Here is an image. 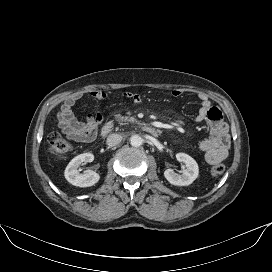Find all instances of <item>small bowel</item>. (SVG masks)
Masks as SVG:
<instances>
[{
  "label": "small bowel",
  "instance_id": "c3829d8e",
  "mask_svg": "<svg viewBox=\"0 0 272 272\" xmlns=\"http://www.w3.org/2000/svg\"><path fill=\"white\" fill-rule=\"evenodd\" d=\"M182 93L179 89L172 91L174 97H179ZM90 95L96 100L108 98V94L99 90L92 91ZM122 96L135 103L140 101V95L134 92H123ZM80 98V94L66 98L58 113V125L69 139L77 143H90L95 140L103 117L100 112H97L95 114L89 113L83 121L78 120L73 113V107ZM198 98L200 109L196 116V122H206L209 126V135L198 144L197 148L203 153L208 164L216 165L225 160L229 154L228 126L223 121L222 112L218 107L213 106L203 94H199Z\"/></svg>",
  "mask_w": 272,
  "mask_h": 272
}]
</instances>
